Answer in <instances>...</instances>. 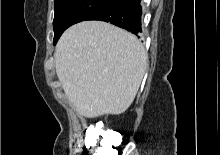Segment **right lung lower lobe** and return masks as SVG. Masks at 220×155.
I'll return each mask as SVG.
<instances>
[{"instance_id":"98d812e1","label":"right lung lower lobe","mask_w":220,"mask_h":155,"mask_svg":"<svg viewBox=\"0 0 220 155\" xmlns=\"http://www.w3.org/2000/svg\"><path fill=\"white\" fill-rule=\"evenodd\" d=\"M141 0H121L117 4L104 9L87 20L110 22L134 34L141 31Z\"/></svg>"}]
</instances>
